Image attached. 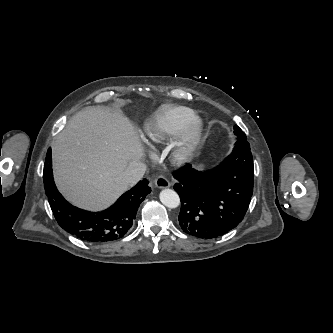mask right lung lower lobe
Instances as JSON below:
<instances>
[{
  "mask_svg": "<svg viewBox=\"0 0 333 333\" xmlns=\"http://www.w3.org/2000/svg\"><path fill=\"white\" fill-rule=\"evenodd\" d=\"M43 181L45 193L58 224L73 236L96 243L117 240L128 233L141 202L151 192L148 180L143 179L102 212L94 213L74 207L56 188L50 148L44 164Z\"/></svg>",
  "mask_w": 333,
  "mask_h": 333,
  "instance_id": "1",
  "label": "right lung lower lobe"
}]
</instances>
